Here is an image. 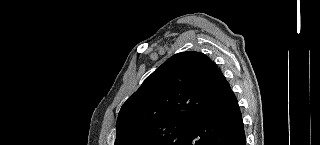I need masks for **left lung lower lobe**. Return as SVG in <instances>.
<instances>
[{
	"label": "left lung lower lobe",
	"instance_id": "1",
	"mask_svg": "<svg viewBox=\"0 0 320 145\" xmlns=\"http://www.w3.org/2000/svg\"><path fill=\"white\" fill-rule=\"evenodd\" d=\"M208 107L184 145H246L237 99L217 67L208 82Z\"/></svg>",
	"mask_w": 320,
	"mask_h": 145
}]
</instances>
